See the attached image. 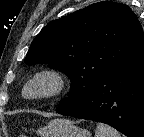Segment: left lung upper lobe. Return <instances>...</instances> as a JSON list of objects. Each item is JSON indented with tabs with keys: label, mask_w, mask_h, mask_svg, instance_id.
Masks as SVG:
<instances>
[{
	"label": "left lung upper lobe",
	"mask_w": 144,
	"mask_h": 137,
	"mask_svg": "<svg viewBox=\"0 0 144 137\" xmlns=\"http://www.w3.org/2000/svg\"><path fill=\"white\" fill-rule=\"evenodd\" d=\"M142 33L128 5L98 2L47 24L32 42L25 63H48L70 78L71 91L58 106L65 108L85 98Z\"/></svg>",
	"instance_id": "left-lung-upper-lobe-1"
}]
</instances>
